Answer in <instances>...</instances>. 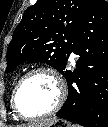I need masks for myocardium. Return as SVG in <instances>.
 <instances>
[{"mask_svg": "<svg viewBox=\"0 0 108 127\" xmlns=\"http://www.w3.org/2000/svg\"><path fill=\"white\" fill-rule=\"evenodd\" d=\"M39 73L47 74L53 78V80L56 82V85H57L58 97H57V101H56L55 105L49 111H47L43 114H40V115L29 116V115H26L25 113H23L21 111V109L19 108L18 94H19L20 89H21L22 85L24 84V82L29 77L39 74ZM66 96H67V87H66V83H65L64 79L55 70H53L51 68L38 67V68H34V69L28 71L18 80V82L15 85V88L13 90V93H12L11 105H12V108L14 109L15 113L19 117L26 119V120H36V119H42V118H45V117L55 114L64 104V102L66 100Z\"/></svg>", "mask_w": 108, "mask_h": 127, "instance_id": "1", "label": "myocardium"}]
</instances>
